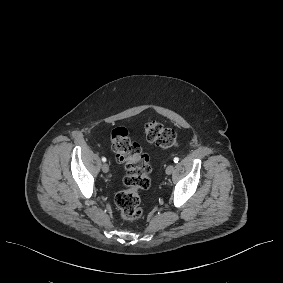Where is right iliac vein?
I'll return each mask as SVG.
<instances>
[{"label": "right iliac vein", "mask_w": 283, "mask_h": 283, "mask_svg": "<svg viewBox=\"0 0 283 283\" xmlns=\"http://www.w3.org/2000/svg\"><path fill=\"white\" fill-rule=\"evenodd\" d=\"M102 171H103L104 173H107V172L109 171V166H108V164L104 163V164L102 165Z\"/></svg>", "instance_id": "63e3f726"}]
</instances>
